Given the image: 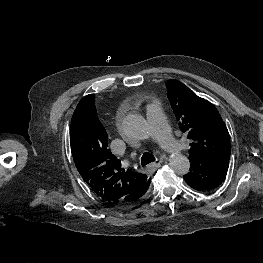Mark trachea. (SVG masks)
I'll use <instances>...</instances> for the list:
<instances>
[{"label":"trachea","mask_w":263,"mask_h":263,"mask_svg":"<svg viewBox=\"0 0 263 263\" xmlns=\"http://www.w3.org/2000/svg\"><path fill=\"white\" fill-rule=\"evenodd\" d=\"M155 161V157L151 153H144L141 157V165L142 167L146 166L147 164Z\"/></svg>","instance_id":"trachea-1"}]
</instances>
